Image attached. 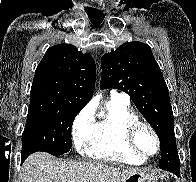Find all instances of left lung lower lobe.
<instances>
[{
  "mask_svg": "<svg viewBox=\"0 0 196 182\" xmlns=\"http://www.w3.org/2000/svg\"><path fill=\"white\" fill-rule=\"evenodd\" d=\"M178 158V154L171 148H163L161 149V161H168L171 162L172 160H175ZM174 162V161H173ZM180 171L176 173L177 176H179Z\"/></svg>",
  "mask_w": 196,
  "mask_h": 182,
  "instance_id": "left-lung-lower-lobe-1",
  "label": "left lung lower lobe"
}]
</instances>
